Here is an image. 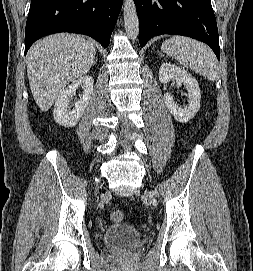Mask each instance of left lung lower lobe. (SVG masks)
Wrapping results in <instances>:
<instances>
[{"instance_id": "left-lung-lower-lobe-1", "label": "left lung lower lobe", "mask_w": 253, "mask_h": 271, "mask_svg": "<svg viewBox=\"0 0 253 271\" xmlns=\"http://www.w3.org/2000/svg\"><path fill=\"white\" fill-rule=\"evenodd\" d=\"M140 46L157 35H184L208 44L218 60L219 36L210 0H134Z\"/></svg>"}]
</instances>
